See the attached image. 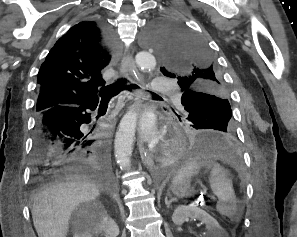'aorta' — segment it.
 Instances as JSON below:
<instances>
[{
  "label": "aorta",
  "instance_id": "aorta-1",
  "mask_svg": "<svg viewBox=\"0 0 297 237\" xmlns=\"http://www.w3.org/2000/svg\"><path fill=\"white\" fill-rule=\"evenodd\" d=\"M150 46L154 43L149 39ZM138 68L142 71H151L156 66L155 57L146 51L135 57ZM137 123V114L134 110L128 111L122 118L115 139V157L121 168L130 167V156L133 150V137Z\"/></svg>",
  "mask_w": 297,
  "mask_h": 237
}]
</instances>
